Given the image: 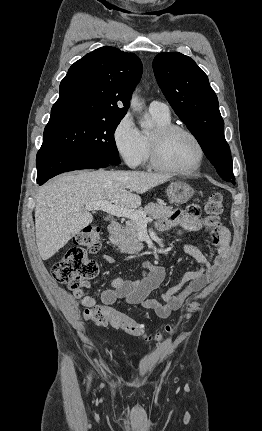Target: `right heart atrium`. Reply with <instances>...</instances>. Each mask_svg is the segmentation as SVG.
Here are the masks:
<instances>
[{
  "label": "right heart atrium",
  "instance_id": "obj_1",
  "mask_svg": "<svg viewBox=\"0 0 262 431\" xmlns=\"http://www.w3.org/2000/svg\"><path fill=\"white\" fill-rule=\"evenodd\" d=\"M113 142L119 155L129 166H137L143 161L144 142L131 114H124L115 125Z\"/></svg>",
  "mask_w": 262,
  "mask_h": 431
}]
</instances>
